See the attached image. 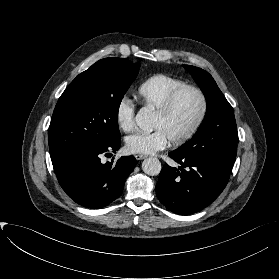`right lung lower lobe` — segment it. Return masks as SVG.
<instances>
[{
  "instance_id": "1",
  "label": "right lung lower lobe",
  "mask_w": 279,
  "mask_h": 279,
  "mask_svg": "<svg viewBox=\"0 0 279 279\" xmlns=\"http://www.w3.org/2000/svg\"><path fill=\"white\" fill-rule=\"evenodd\" d=\"M121 137L93 149H76L51 158L62 189L78 204L92 209L103 208L122 193L126 178L135 168L133 156H123L115 164L101 163L102 154L116 152Z\"/></svg>"
}]
</instances>
